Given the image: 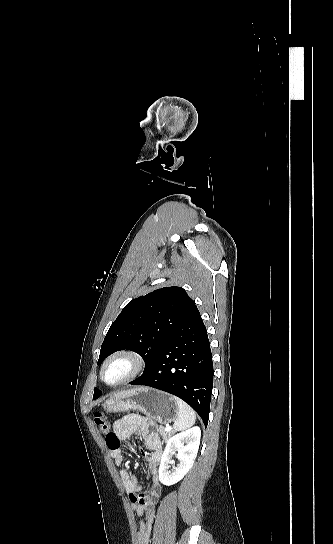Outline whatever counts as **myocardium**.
Masks as SVG:
<instances>
[{
    "label": "myocardium",
    "mask_w": 333,
    "mask_h": 544,
    "mask_svg": "<svg viewBox=\"0 0 333 544\" xmlns=\"http://www.w3.org/2000/svg\"><path fill=\"white\" fill-rule=\"evenodd\" d=\"M119 359L127 360L130 363V370L121 380L114 383H109L105 380V376H104L105 369L110 363ZM144 368H145V360L140 354L130 350H120V351L114 352L113 354H111L105 359V361L103 362L100 368V379L107 386L119 387L133 381L138 376H140V374L144 371Z\"/></svg>",
    "instance_id": "f54148a6"
}]
</instances>
